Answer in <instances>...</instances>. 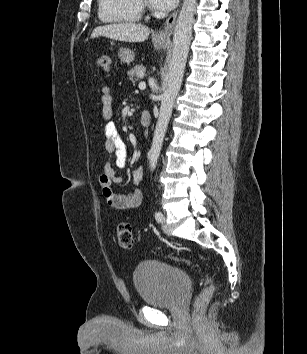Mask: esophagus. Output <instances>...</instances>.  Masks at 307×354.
<instances>
[{
  "instance_id": "34e87169",
  "label": "esophagus",
  "mask_w": 307,
  "mask_h": 354,
  "mask_svg": "<svg viewBox=\"0 0 307 354\" xmlns=\"http://www.w3.org/2000/svg\"><path fill=\"white\" fill-rule=\"evenodd\" d=\"M178 10L171 14L168 19L165 21L163 28L156 34L158 40H167L170 38L174 25L176 22Z\"/></svg>"
}]
</instances>
